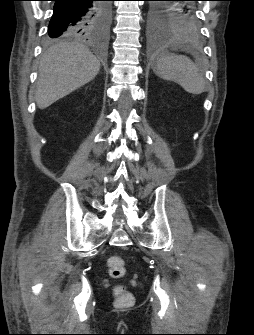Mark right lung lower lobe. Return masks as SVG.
I'll return each mask as SVG.
<instances>
[{"label":"right lung lower lobe","mask_w":254,"mask_h":335,"mask_svg":"<svg viewBox=\"0 0 254 335\" xmlns=\"http://www.w3.org/2000/svg\"><path fill=\"white\" fill-rule=\"evenodd\" d=\"M53 15L48 37L58 38L70 33L90 34V27L99 16V0H53Z\"/></svg>","instance_id":"98d812e1"}]
</instances>
